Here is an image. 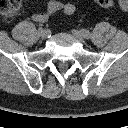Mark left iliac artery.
Here are the masks:
<instances>
[{"label": "left iliac artery", "instance_id": "44dca946", "mask_svg": "<svg viewBox=\"0 0 128 128\" xmlns=\"http://www.w3.org/2000/svg\"><path fill=\"white\" fill-rule=\"evenodd\" d=\"M81 33L84 36V38H86V39L90 38V32L88 30L82 29Z\"/></svg>", "mask_w": 128, "mask_h": 128}]
</instances>
